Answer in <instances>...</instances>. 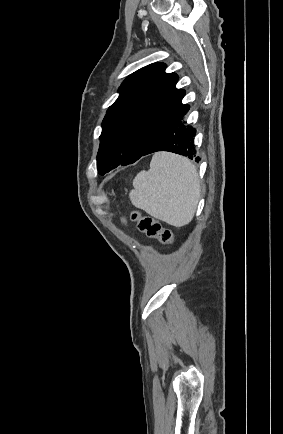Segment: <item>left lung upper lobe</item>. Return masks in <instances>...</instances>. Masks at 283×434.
<instances>
[{"instance_id":"5c2ea615","label":"left lung upper lobe","mask_w":283,"mask_h":434,"mask_svg":"<svg viewBox=\"0 0 283 434\" xmlns=\"http://www.w3.org/2000/svg\"><path fill=\"white\" fill-rule=\"evenodd\" d=\"M164 63L147 65L129 75L102 122L97 170L101 175L137 161L169 117L182 105L185 91Z\"/></svg>"}]
</instances>
